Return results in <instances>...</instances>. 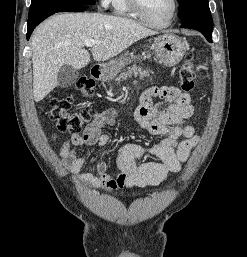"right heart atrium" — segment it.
Wrapping results in <instances>:
<instances>
[{
  "mask_svg": "<svg viewBox=\"0 0 247 257\" xmlns=\"http://www.w3.org/2000/svg\"><path fill=\"white\" fill-rule=\"evenodd\" d=\"M98 2L102 9H108L111 5L112 0H98Z\"/></svg>",
  "mask_w": 247,
  "mask_h": 257,
  "instance_id": "d8ad5b80",
  "label": "right heart atrium"
}]
</instances>
